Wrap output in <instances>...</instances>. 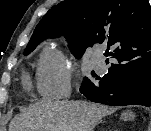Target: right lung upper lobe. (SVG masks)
Returning a JSON list of instances; mask_svg holds the SVG:
<instances>
[{"label": "right lung upper lobe", "instance_id": "right-lung-upper-lobe-1", "mask_svg": "<svg viewBox=\"0 0 151 131\" xmlns=\"http://www.w3.org/2000/svg\"><path fill=\"white\" fill-rule=\"evenodd\" d=\"M64 35L84 53L95 43L113 47L109 72L151 69V7L147 0H65L53 6L28 43Z\"/></svg>", "mask_w": 151, "mask_h": 131}]
</instances>
